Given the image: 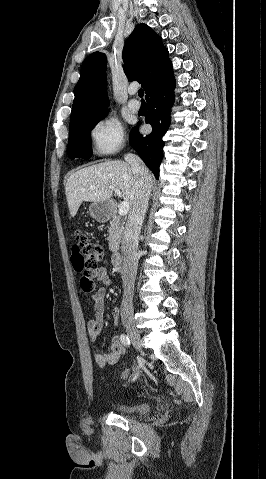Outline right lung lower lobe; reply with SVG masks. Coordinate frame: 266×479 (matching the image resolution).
I'll return each mask as SVG.
<instances>
[{
  "instance_id": "right-lung-lower-lobe-1",
  "label": "right lung lower lobe",
  "mask_w": 266,
  "mask_h": 479,
  "mask_svg": "<svg viewBox=\"0 0 266 479\" xmlns=\"http://www.w3.org/2000/svg\"><path fill=\"white\" fill-rule=\"evenodd\" d=\"M174 88L175 78L171 77L146 95L148 113L145 117V122L152 126V132L149 135L143 136L140 134L138 128L135 127L130 133L132 147L154 173L156 178L159 176V166L162 161L163 147L165 145L162 137L170 125V111L174 102Z\"/></svg>"
}]
</instances>
